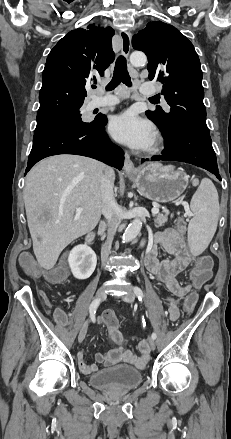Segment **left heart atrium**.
<instances>
[{
    "label": "left heart atrium",
    "instance_id": "obj_1",
    "mask_svg": "<svg viewBox=\"0 0 231 439\" xmlns=\"http://www.w3.org/2000/svg\"><path fill=\"white\" fill-rule=\"evenodd\" d=\"M109 130L116 140L135 149L148 148L155 137L153 125L140 118L133 110L115 116L110 122Z\"/></svg>",
    "mask_w": 231,
    "mask_h": 439
}]
</instances>
